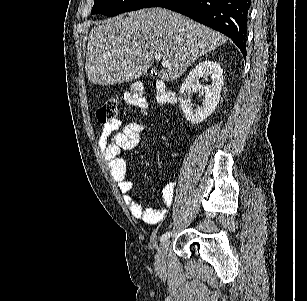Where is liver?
Listing matches in <instances>:
<instances>
[{"label":"liver","instance_id":"6515ba94","mask_svg":"<svg viewBox=\"0 0 307 301\" xmlns=\"http://www.w3.org/2000/svg\"><path fill=\"white\" fill-rule=\"evenodd\" d=\"M228 36L167 8H141L95 22L88 36L85 70L93 84H121L146 74L161 54L169 62L157 76L175 80L197 58Z\"/></svg>","mask_w":307,"mask_h":301}]
</instances>
